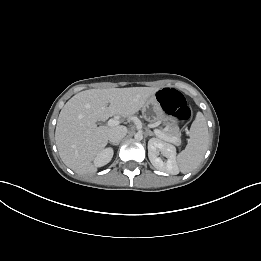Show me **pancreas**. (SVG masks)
<instances>
[{
    "label": "pancreas",
    "mask_w": 261,
    "mask_h": 261,
    "mask_svg": "<svg viewBox=\"0 0 261 261\" xmlns=\"http://www.w3.org/2000/svg\"><path fill=\"white\" fill-rule=\"evenodd\" d=\"M161 132L169 138H175V140L172 142L175 145H180L181 144V139H180V132L178 127L176 126H167L164 129L161 130ZM170 142V141H168Z\"/></svg>",
    "instance_id": "1"
}]
</instances>
